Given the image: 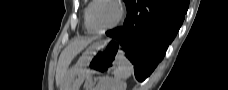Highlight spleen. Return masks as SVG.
<instances>
[{
	"mask_svg": "<svg viewBox=\"0 0 228 90\" xmlns=\"http://www.w3.org/2000/svg\"><path fill=\"white\" fill-rule=\"evenodd\" d=\"M133 73V66L121 52L117 56L116 68L113 71L115 80L121 81L128 79Z\"/></svg>",
	"mask_w": 228,
	"mask_h": 90,
	"instance_id": "1",
	"label": "spleen"
}]
</instances>
